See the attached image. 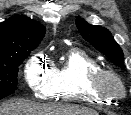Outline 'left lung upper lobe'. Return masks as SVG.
Returning a JSON list of instances; mask_svg holds the SVG:
<instances>
[{
  "mask_svg": "<svg viewBox=\"0 0 131 115\" xmlns=\"http://www.w3.org/2000/svg\"><path fill=\"white\" fill-rule=\"evenodd\" d=\"M76 26L82 37L93 47L104 53L116 65L120 67L123 65V52L106 28L88 24L80 17L76 19Z\"/></svg>",
  "mask_w": 131,
  "mask_h": 115,
  "instance_id": "obj_1",
  "label": "left lung upper lobe"
}]
</instances>
